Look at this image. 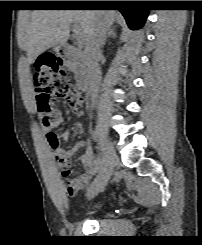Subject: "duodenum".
I'll return each instance as SVG.
<instances>
[{"label": "duodenum", "mask_w": 202, "mask_h": 245, "mask_svg": "<svg viewBox=\"0 0 202 245\" xmlns=\"http://www.w3.org/2000/svg\"><path fill=\"white\" fill-rule=\"evenodd\" d=\"M55 52L64 59L73 61L76 69V86L78 91L90 93L93 82L89 73V64L84 60L83 55L68 43L57 46Z\"/></svg>", "instance_id": "410a0bca"}]
</instances>
